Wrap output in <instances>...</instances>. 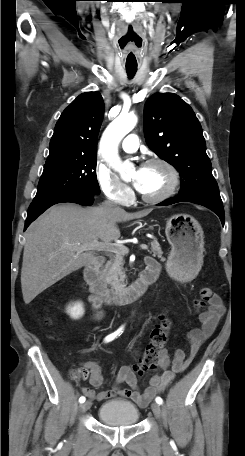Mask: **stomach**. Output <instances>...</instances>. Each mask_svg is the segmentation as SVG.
<instances>
[{
	"label": "stomach",
	"instance_id": "stomach-1",
	"mask_svg": "<svg viewBox=\"0 0 245 456\" xmlns=\"http://www.w3.org/2000/svg\"><path fill=\"white\" fill-rule=\"evenodd\" d=\"M165 234L171 251L167 270L177 281H188L201 269L204 232L199 222L188 214H175L166 222Z\"/></svg>",
	"mask_w": 245,
	"mask_h": 456
}]
</instances>
